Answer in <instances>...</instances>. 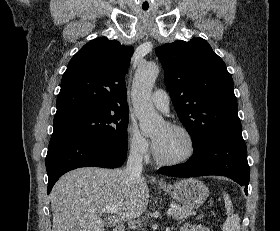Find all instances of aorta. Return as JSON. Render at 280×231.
Instances as JSON below:
<instances>
[{"label":"aorta","mask_w":280,"mask_h":231,"mask_svg":"<svg viewBox=\"0 0 280 231\" xmlns=\"http://www.w3.org/2000/svg\"><path fill=\"white\" fill-rule=\"evenodd\" d=\"M158 74L159 66L154 62L138 66L132 86V104L143 135L155 133L164 121L163 117L155 112L151 100L153 84Z\"/></svg>","instance_id":"aorta-1"}]
</instances>
